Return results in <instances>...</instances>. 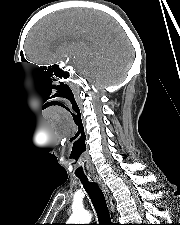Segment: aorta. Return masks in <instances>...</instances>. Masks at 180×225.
Returning <instances> with one entry per match:
<instances>
[{
  "label": "aorta",
  "mask_w": 180,
  "mask_h": 225,
  "mask_svg": "<svg viewBox=\"0 0 180 225\" xmlns=\"http://www.w3.org/2000/svg\"><path fill=\"white\" fill-rule=\"evenodd\" d=\"M91 215L87 211H75L68 220V224H89Z\"/></svg>",
  "instance_id": "obj_1"
}]
</instances>
